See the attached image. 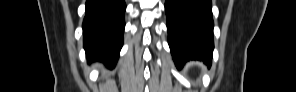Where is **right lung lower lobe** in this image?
Here are the masks:
<instances>
[{
  "label": "right lung lower lobe",
  "mask_w": 296,
  "mask_h": 92,
  "mask_svg": "<svg viewBox=\"0 0 296 92\" xmlns=\"http://www.w3.org/2000/svg\"><path fill=\"white\" fill-rule=\"evenodd\" d=\"M125 9L124 0L86 1L83 36L88 60L115 65L123 45Z\"/></svg>",
  "instance_id": "right-lung-lower-lobe-1"
}]
</instances>
